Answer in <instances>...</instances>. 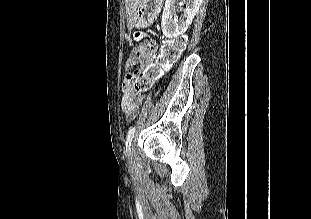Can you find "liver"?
<instances>
[{
    "mask_svg": "<svg viewBox=\"0 0 311 219\" xmlns=\"http://www.w3.org/2000/svg\"><path fill=\"white\" fill-rule=\"evenodd\" d=\"M127 6V18L130 19L137 8L139 0H125Z\"/></svg>",
    "mask_w": 311,
    "mask_h": 219,
    "instance_id": "liver-1",
    "label": "liver"
}]
</instances>
